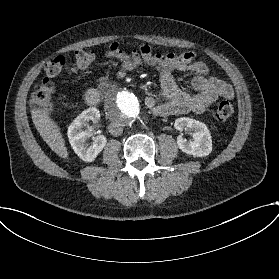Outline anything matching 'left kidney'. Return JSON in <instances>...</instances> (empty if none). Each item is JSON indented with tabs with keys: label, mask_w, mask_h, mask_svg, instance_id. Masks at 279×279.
<instances>
[{
	"label": "left kidney",
	"mask_w": 279,
	"mask_h": 279,
	"mask_svg": "<svg viewBox=\"0 0 279 279\" xmlns=\"http://www.w3.org/2000/svg\"><path fill=\"white\" fill-rule=\"evenodd\" d=\"M174 127L178 131H183L184 127L192 130L189 140L178 137L177 145L181 151L194 157H205L211 153V134L203 122L189 117H181L175 121Z\"/></svg>",
	"instance_id": "left-kidney-1"
}]
</instances>
